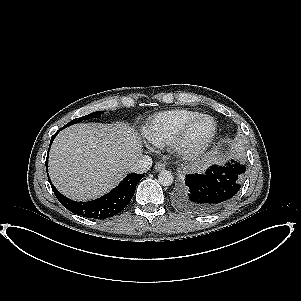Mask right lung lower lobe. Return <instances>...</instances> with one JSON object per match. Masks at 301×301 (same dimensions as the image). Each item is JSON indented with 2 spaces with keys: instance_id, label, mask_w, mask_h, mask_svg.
<instances>
[{
  "instance_id": "obj_1",
  "label": "right lung lower lobe",
  "mask_w": 301,
  "mask_h": 301,
  "mask_svg": "<svg viewBox=\"0 0 301 301\" xmlns=\"http://www.w3.org/2000/svg\"><path fill=\"white\" fill-rule=\"evenodd\" d=\"M63 129V128H62ZM57 131L51 138L50 146L58 134ZM47 168V160H46ZM144 177V174H129L124 180L111 192L105 196L89 201L76 202L64 197L51 183L53 192L55 193L59 202L69 211L94 219H106L117 214L123 210L131 201L138 182ZM49 179V178H48Z\"/></svg>"
}]
</instances>
